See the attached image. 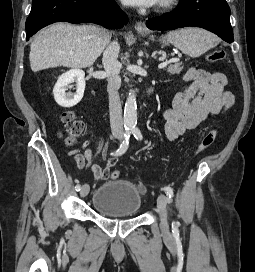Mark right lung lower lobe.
I'll return each mask as SVG.
<instances>
[{
    "mask_svg": "<svg viewBox=\"0 0 255 272\" xmlns=\"http://www.w3.org/2000/svg\"><path fill=\"white\" fill-rule=\"evenodd\" d=\"M63 21L120 28L128 19L114 0H33L26 20L27 40L41 28Z\"/></svg>",
    "mask_w": 255,
    "mask_h": 272,
    "instance_id": "1",
    "label": "right lung lower lobe"
}]
</instances>
